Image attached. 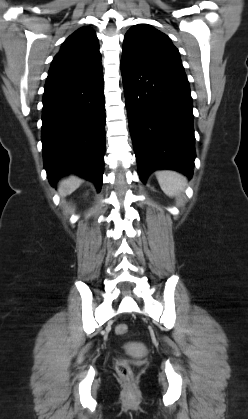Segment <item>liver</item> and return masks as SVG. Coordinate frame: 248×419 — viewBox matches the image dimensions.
<instances>
[{"mask_svg": "<svg viewBox=\"0 0 248 419\" xmlns=\"http://www.w3.org/2000/svg\"><path fill=\"white\" fill-rule=\"evenodd\" d=\"M82 183V180L76 176H70L69 178L63 180L59 186V192L61 195H64L68 192H71L78 188Z\"/></svg>", "mask_w": 248, "mask_h": 419, "instance_id": "1", "label": "liver"}]
</instances>
